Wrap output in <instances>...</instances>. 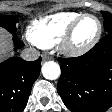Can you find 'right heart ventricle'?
<instances>
[{
    "instance_id": "1",
    "label": "right heart ventricle",
    "mask_w": 112,
    "mask_h": 112,
    "mask_svg": "<svg viewBox=\"0 0 112 112\" xmlns=\"http://www.w3.org/2000/svg\"><path fill=\"white\" fill-rule=\"evenodd\" d=\"M81 12L61 11L34 20L28 29L30 41L42 48H50L59 43L70 24Z\"/></svg>"
}]
</instances>
